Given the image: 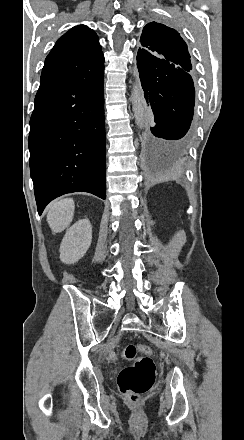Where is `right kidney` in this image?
Here are the masks:
<instances>
[{"mask_svg":"<svg viewBox=\"0 0 244 440\" xmlns=\"http://www.w3.org/2000/svg\"><path fill=\"white\" fill-rule=\"evenodd\" d=\"M92 242V228L88 218L78 220L67 230L60 246L63 264H75L83 258Z\"/></svg>","mask_w":244,"mask_h":440,"instance_id":"right-kidney-1","label":"right kidney"}]
</instances>
